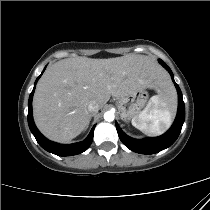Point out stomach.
<instances>
[{"mask_svg":"<svg viewBox=\"0 0 210 210\" xmlns=\"http://www.w3.org/2000/svg\"><path fill=\"white\" fill-rule=\"evenodd\" d=\"M148 100L146 89L138 90L126 97L119 98L117 107L123 121H129L137 117Z\"/></svg>","mask_w":210,"mask_h":210,"instance_id":"0dacf381","label":"stomach"}]
</instances>
